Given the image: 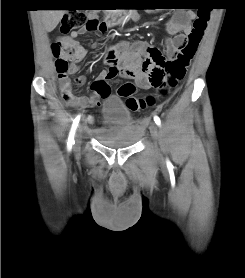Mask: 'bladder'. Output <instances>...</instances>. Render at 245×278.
<instances>
[{
    "label": "bladder",
    "instance_id": "31cf9c89",
    "mask_svg": "<svg viewBox=\"0 0 245 278\" xmlns=\"http://www.w3.org/2000/svg\"><path fill=\"white\" fill-rule=\"evenodd\" d=\"M104 126L99 140L113 148H129L136 144L140 133L135 127L131 110L120 96H108L103 102Z\"/></svg>",
    "mask_w": 245,
    "mask_h": 278
}]
</instances>
